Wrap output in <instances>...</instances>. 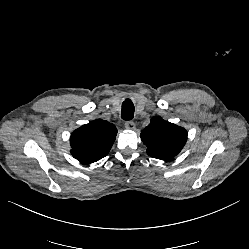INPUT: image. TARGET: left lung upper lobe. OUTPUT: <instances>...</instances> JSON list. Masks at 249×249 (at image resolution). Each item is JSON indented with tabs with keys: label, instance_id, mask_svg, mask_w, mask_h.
<instances>
[{
	"label": "left lung upper lobe",
	"instance_id": "1",
	"mask_svg": "<svg viewBox=\"0 0 249 249\" xmlns=\"http://www.w3.org/2000/svg\"><path fill=\"white\" fill-rule=\"evenodd\" d=\"M141 140L147 146V154L153 158L170 160L183 148L187 140V131L159 116L141 132Z\"/></svg>",
	"mask_w": 249,
	"mask_h": 249
}]
</instances>
